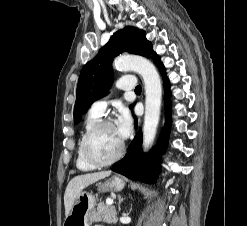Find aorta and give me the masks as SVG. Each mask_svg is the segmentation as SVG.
<instances>
[{"mask_svg":"<svg viewBox=\"0 0 247 226\" xmlns=\"http://www.w3.org/2000/svg\"><path fill=\"white\" fill-rule=\"evenodd\" d=\"M119 70L136 71L142 78L145 88V116L143 125V149L147 151L154 142L160 118L162 85L154 65L144 57L135 55L119 56L114 60Z\"/></svg>","mask_w":247,"mask_h":226,"instance_id":"1","label":"aorta"}]
</instances>
